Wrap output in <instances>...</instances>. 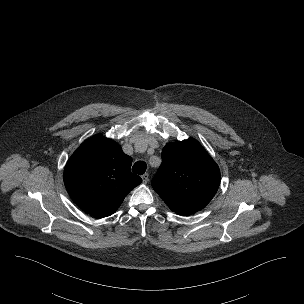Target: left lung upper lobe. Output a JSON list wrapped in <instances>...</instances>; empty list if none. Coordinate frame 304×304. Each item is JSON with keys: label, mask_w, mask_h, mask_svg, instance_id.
Returning a JSON list of instances; mask_svg holds the SVG:
<instances>
[{"label": "left lung upper lobe", "mask_w": 304, "mask_h": 304, "mask_svg": "<svg viewBox=\"0 0 304 304\" xmlns=\"http://www.w3.org/2000/svg\"><path fill=\"white\" fill-rule=\"evenodd\" d=\"M220 171L195 140L168 143L152 187L176 213L190 215L203 209L216 194Z\"/></svg>", "instance_id": "obj_1"}]
</instances>
